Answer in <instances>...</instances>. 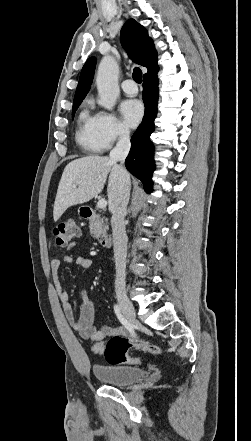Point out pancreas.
<instances>
[{
	"label": "pancreas",
	"mask_w": 251,
	"mask_h": 441,
	"mask_svg": "<svg viewBox=\"0 0 251 441\" xmlns=\"http://www.w3.org/2000/svg\"><path fill=\"white\" fill-rule=\"evenodd\" d=\"M89 228H90V234L95 238H99L101 233L106 230L104 219L99 218V216H96V219L90 220Z\"/></svg>",
	"instance_id": "cf45deb5"
}]
</instances>
